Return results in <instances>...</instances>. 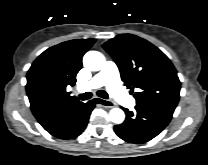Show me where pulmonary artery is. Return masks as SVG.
<instances>
[{"label": "pulmonary artery", "instance_id": "e3ab8cb5", "mask_svg": "<svg viewBox=\"0 0 208 165\" xmlns=\"http://www.w3.org/2000/svg\"><path fill=\"white\" fill-rule=\"evenodd\" d=\"M101 86H106L108 92L122 105L132 107L135 99L129 95L121 85L117 66L108 61L103 69L97 73L89 82L79 86L80 90H91Z\"/></svg>", "mask_w": 208, "mask_h": 165}]
</instances>
